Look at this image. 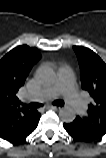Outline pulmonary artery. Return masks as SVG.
<instances>
[{"mask_svg": "<svg viewBox=\"0 0 106 158\" xmlns=\"http://www.w3.org/2000/svg\"><path fill=\"white\" fill-rule=\"evenodd\" d=\"M58 90L57 89H55V90H53V93H56Z\"/></svg>", "mask_w": 106, "mask_h": 158, "instance_id": "e3ab8cb5", "label": "pulmonary artery"}]
</instances>
